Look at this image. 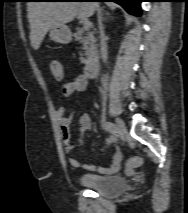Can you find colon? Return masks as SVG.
<instances>
[{
  "instance_id": "5ec220e1",
  "label": "colon",
  "mask_w": 188,
  "mask_h": 213,
  "mask_svg": "<svg viewBox=\"0 0 188 213\" xmlns=\"http://www.w3.org/2000/svg\"><path fill=\"white\" fill-rule=\"evenodd\" d=\"M50 70L53 74V76L56 79H62L63 78V68L61 63L58 60L52 59L49 62ZM142 163V158L139 156H134L130 158L126 162V172L127 173H132L134 172L135 168L139 166Z\"/></svg>"
}]
</instances>
